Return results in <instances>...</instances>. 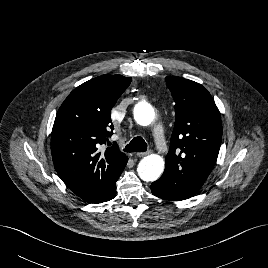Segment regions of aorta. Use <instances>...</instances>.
I'll return each mask as SVG.
<instances>
[{"label":"aorta","mask_w":268,"mask_h":268,"mask_svg":"<svg viewBox=\"0 0 268 268\" xmlns=\"http://www.w3.org/2000/svg\"><path fill=\"white\" fill-rule=\"evenodd\" d=\"M133 114L135 121L142 126L150 125L155 119L154 108L146 102L136 105ZM164 166L165 163L162 157L150 154L139 162L137 172L143 181L153 182L161 176Z\"/></svg>","instance_id":"1"}]
</instances>
